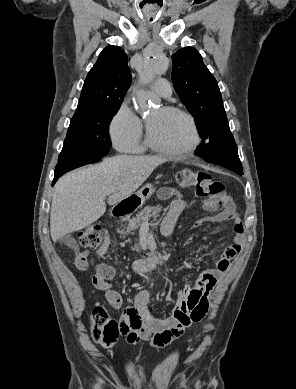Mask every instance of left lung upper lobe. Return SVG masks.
I'll return each instance as SVG.
<instances>
[{"label":"left lung upper lobe","instance_id":"5c2ea615","mask_svg":"<svg viewBox=\"0 0 296 389\" xmlns=\"http://www.w3.org/2000/svg\"><path fill=\"white\" fill-rule=\"evenodd\" d=\"M172 60L175 91L196 119L198 132L206 141L215 129L228 123L218 83L195 48L178 50Z\"/></svg>","mask_w":296,"mask_h":389}]
</instances>
